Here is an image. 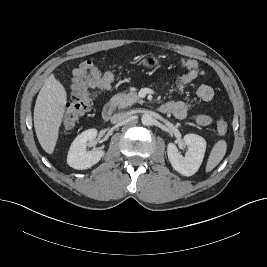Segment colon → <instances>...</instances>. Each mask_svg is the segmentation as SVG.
Masks as SVG:
<instances>
[{
	"instance_id": "obj_1",
	"label": "colon",
	"mask_w": 267,
	"mask_h": 267,
	"mask_svg": "<svg viewBox=\"0 0 267 267\" xmlns=\"http://www.w3.org/2000/svg\"><path fill=\"white\" fill-rule=\"evenodd\" d=\"M182 66L188 70H199L198 62L193 59H183ZM114 80L115 73L108 71L101 75L93 88L76 90L66 106L62 119V130L64 132L71 130L79 119L90 110L96 93L109 88ZM227 129L226 121L221 119L217 122L219 135H225Z\"/></svg>"
}]
</instances>
